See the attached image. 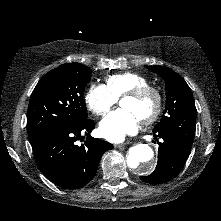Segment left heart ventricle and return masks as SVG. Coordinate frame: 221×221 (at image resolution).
Segmentation results:
<instances>
[{"label":"left heart ventricle","instance_id":"obj_1","mask_svg":"<svg viewBox=\"0 0 221 221\" xmlns=\"http://www.w3.org/2000/svg\"><path fill=\"white\" fill-rule=\"evenodd\" d=\"M120 106L131 111L141 120L154 110L155 99L153 96L142 99L124 98L121 100Z\"/></svg>","mask_w":221,"mask_h":221}]
</instances>
